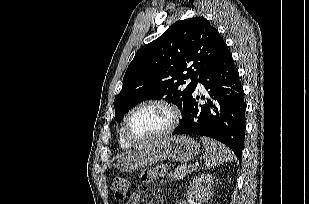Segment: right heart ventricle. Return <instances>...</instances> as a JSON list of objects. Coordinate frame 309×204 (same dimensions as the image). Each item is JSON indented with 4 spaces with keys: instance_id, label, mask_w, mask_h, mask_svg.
<instances>
[{
    "instance_id": "obj_1",
    "label": "right heart ventricle",
    "mask_w": 309,
    "mask_h": 204,
    "mask_svg": "<svg viewBox=\"0 0 309 204\" xmlns=\"http://www.w3.org/2000/svg\"><path fill=\"white\" fill-rule=\"evenodd\" d=\"M119 142H120L121 147H123V148H129V147L131 146L130 144H128V143L125 141V139H124L123 136H122L121 131H120Z\"/></svg>"
}]
</instances>
